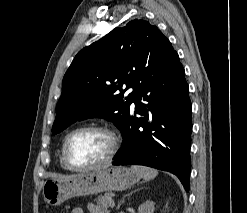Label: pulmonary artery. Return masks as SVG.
<instances>
[{
	"label": "pulmonary artery",
	"instance_id": "1",
	"mask_svg": "<svg viewBox=\"0 0 247 213\" xmlns=\"http://www.w3.org/2000/svg\"><path fill=\"white\" fill-rule=\"evenodd\" d=\"M134 91V89L133 88H130L129 89V93H131V92H133Z\"/></svg>",
	"mask_w": 247,
	"mask_h": 213
}]
</instances>
